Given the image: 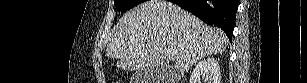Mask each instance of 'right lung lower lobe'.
<instances>
[{
    "label": "right lung lower lobe",
    "mask_w": 307,
    "mask_h": 83,
    "mask_svg": "<svg viewBox=\"0 0 307 83\" xmlns=\"http://www.w3.org/2000/svg\"><path fill=\"white\" fill-rule=\"evenodd\" d=\"M208 25L219 26L232 40L238 0H172Z\"/></svg>",
    "instance_id": "1"
}]
</instances>
